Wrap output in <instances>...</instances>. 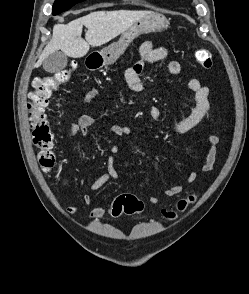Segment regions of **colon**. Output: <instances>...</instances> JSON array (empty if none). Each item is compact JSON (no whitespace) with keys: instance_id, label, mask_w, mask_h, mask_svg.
Listing matches in <instances>:
<instances>
[{"instance_id":"colon-1","label":"colon","mask_w":249,"mask_h":294,"mask_svg":"<svg viewBox=\"0 0 249 294\" xmlns=\"http://www.w3.org/2000/svg\"><path fill=\"white\" fill-rule=\"evenodd\" d=\"M196 61L205 69L213 67L211 54L204 49L194 50ZM72 77L71 69H64L52 75L37 77L33 81V90L29 94L28 110L32 129L33 144L38 149V159L41 169L48 172L55 165L54 132L46 113L48 102L57 88L68 82ZM195 200L194 196L181 199L176 210H166L163 215L168 219H174L178 213L184 212ZM144 210L143 202L132 194L117 196L110 207L113 217L122 215H139Z\"/></svg>"}]
</instances>
